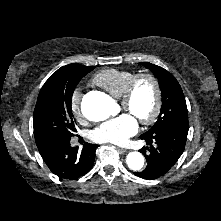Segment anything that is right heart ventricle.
I'll return each mask as SVG.
<instances>
[{
    "mask_svg": "<svg viewBox=\"0 0 221 221\" xmlns=\"http://www.w3.org/2000/svg\"><path fill=\"white\" fill-rule=\"evenodd\" d=\"M133 76L134 73L131 71L110 68L97 73L93 78V83L120 98Z\"/></svg>",
    "mask_w": 221,
    "mask_h": 221,
    "instance_id": "right-heart-ventricle-1",
    "label": "right heart ventricle"
}]
</instances>
